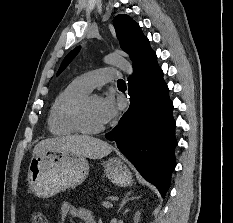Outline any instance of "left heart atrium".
<instances>
[{
    "instance_id": "left-heart-atrium-1",
    "label": "left heart atrium",
    "mask_w": 233,
    "mask_h": 223,
    "mask_svg": "<svg viewBox=\"0 0 233 223\" xmlns=\"http://www.w3.org/2000/svg\"><path fill=\"white\" fill-rule=\"evenodd\" d=\"M97 111L98 118L103 125L112 122L119 113V107L114 96L107 95L100 98Z\"/></svg>"
}]
</instances>
